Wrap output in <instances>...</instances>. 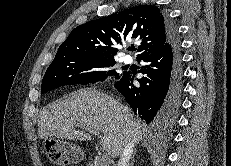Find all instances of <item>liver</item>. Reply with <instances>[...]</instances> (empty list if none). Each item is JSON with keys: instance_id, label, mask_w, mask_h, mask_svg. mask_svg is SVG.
Listing matches in <instances>:
<instances>
[{"instance_id": "1", "label": "liver", "mask_w": 231, "mask_h": 166, "mask_svg": "<svg viewBox=\"0 0 231 166\" xmlns=\"http://www.w3.org/2000/svg\"><path fill=\"white\" fill-rule=\"evenodd\" d=\"M88 132H102V148L112 157L121 155L125 145L143 138L139 121L129 109L110 95L84 88L73 92L65 100L45 107L38 118V137L50 139L55 136L67 140H91Z\"/></svg>"}]
</instances>
